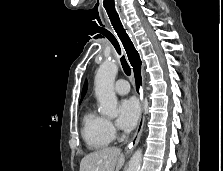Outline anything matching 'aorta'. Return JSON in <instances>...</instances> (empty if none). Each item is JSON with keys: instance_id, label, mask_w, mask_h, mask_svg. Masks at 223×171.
Wrapping results in <instances>:
<instances>
[{"instance_id": "obj_1", "label": "aorta", "mask_w": 223, "mask_h": 171, "mask_svg": "<svg viewBox=\"0 0 223 171\" xmlns=\"http://www.w3.org/2000/svg\"><path fill=\"white\" fill-rule=\"evenodd\" d=\"M118 72V65L111 60L104 61L95 76V95L100 104L101 114L116 117L117 97L114 92V81ZM142 150L138 149L129 161L127 171H140L142 164Z\"/></svg>"}]
</instances>
